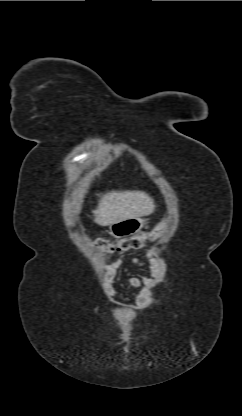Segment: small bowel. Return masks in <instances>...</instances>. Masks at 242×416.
Here are the masks:
<instances>
[{"instance_id": "c3829d8e", "label": "small bowel", "mask_w": 242, "mask_h": 416, "mask_svg": "<svg viewBox=\"0 0 242 416\" xmlns=\"http://www.w3.org/2000/svg\"><path fill=\"white\" fill-rule=\"evenodd\" d=\"M154 258V252L151 250H147L145 253V259L150 265L153 262ZM123 262L124 258H118L106 266L105 271L107 280H112L116 276ZM132 262L135 265L141 264L140 260L137 258H134ZM154 275V270L152 266H150L144 275L140 277L129 278V285L133 288L140 289L141 292L137 297L132 299H125L121 296H118L119 302L123 305L122 309L119 312L121 317L125 318L132 316L135 313L136 309L142 307L147 303L148 287L152 284Z\"/></svg>"}]
</instances>
